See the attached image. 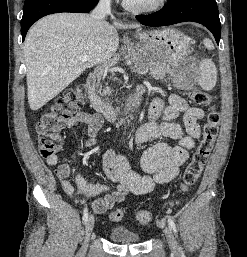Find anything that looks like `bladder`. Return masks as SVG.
Wrapping results in <instances>:
<instances>
[{"label":"bladder","mask_w":247,"mask_h":257,"mask_svg":"<svg viewBox=\"0 0 247 257\" xmlns=\"http://www.w3.org/2000/svg\"><path fill=\"white\" fill-rule=\"evenodd\" d=\"M109 238L119 244L136 243L140 236L124 227H114L109 231Z\"/></svg>","instance_id":"1"}]
</instances>
